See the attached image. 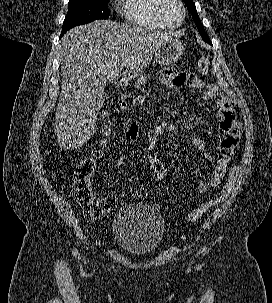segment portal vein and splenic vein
<instances>
[{
    "mask_svg": "<svg viewBox=\"0 0 272 303\" xmlns=\"http://www.w3.org/2000/svg\"><path fill=\"white\" fill-rule=\"evenodd\" d=\"M127 62H128V60H126V59L123 60V63H127Z\"/></svg>",
    "mask_w": 272,
    "mask_h": 303,
    "instance_id": "18ae733b",
    "label": "portal vein and splenic vein"
}]
</instances>
